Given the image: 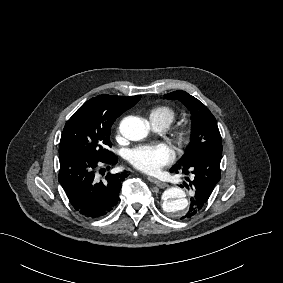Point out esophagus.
<instances>
[{
	"mask_svg": "<svg viewBox=\"0 0 283 283\" xmlns=\"http://www.w3.org/2000/svg\"><path fill=\"white\" fill-rule=\"evenodd\" d=\"M150 179H151V181H152L153 183H155V184H156L158 187H160V188H165V187L168 186L167 183H165V182H163V181H161V180H159V179H157V178H155V177H150Z\"/></svg>",
	"mask_w": 283,
	"mask_h": 283,
	"instance_id": "34e87169",
	"label": "esophagus"
}]
</instances>
